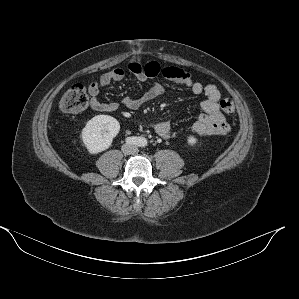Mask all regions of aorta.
Wrapping results in <instances>:
<instances>
[{
	"label": "aorta",
	"mask_w": 299,
	"mask_h": 299,
	"mask_svg": "<svg viewBox=\"0 0 299 299\" xmlns=\"http://www.w3.org/2000/svg\"><path fill=\"white\" fill-rule=\"evenodd\" d=\"M147 144V140L146 139H143V142H142V145H146Z\"/></svg>",
	"instance_id": "obj_1"
}]
</instances>
